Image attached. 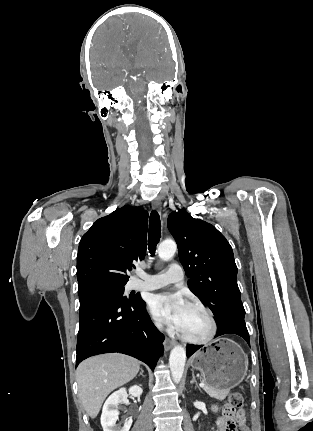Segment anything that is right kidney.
<instances>
[{"label":"right kidney","mask_w":313,"mask_h":431,"mask_svg":"<svg viewBox=\"0 0 313 431\" xmlns=\"http://www.w3.org/2000/svg\"><path fill=\"white\" fill-rule=\"evenodd\" d=\"M128 393L133 397H140L143 389L135 385L129 388ZM128 393L126 388H121L111 394L105 401L101 415L103 431H129L132 425V417H129L122 427L116 425L119 415L118 406L127 401Z\"/></svg>","instance_id":"obj_1"}]
</instances>
